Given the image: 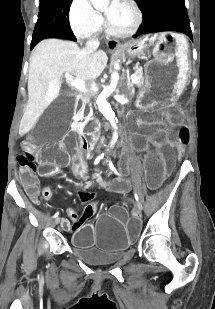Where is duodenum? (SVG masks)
Here are the masks:
<instances>
[{
    "label": "duodenum",
    "mask_w": 215,
    "mask_h": 309,
    "mask_svg": "<svg viewBox=\"0 0 215 309\" xmlns=\"http://www.w3.org/2000/svg\"><path fill=\"white\" fill-rule=\"evenodd\" d=\"M93 123L97 124L98 121L95 120ZM73 126L78 130L82 128V123L80 120H75ZM84 143L87 149L95 148L100 143V135L96 131L87 132L84 137Z\"/></svg>",
    "instance_id": "duodenum-1"
}]
</instances>
